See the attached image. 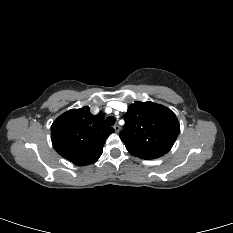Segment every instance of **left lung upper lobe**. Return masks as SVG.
<instances>
[{
  "mask_svg": "<svg viewBox=\"0 0 233 233\" xmlns=\"http://www.w3.org/2000/svg\"><path fill=\"white\" fill-rule=\"evenodd\" d=\"M125 127L120 133L126 149L141 159H155L165 155L180 132L175 114L165 106L153 102H135L128 107Z\"/></svg>",
  "mask_w": 233,
  "mask_h": 233,
  "instance_id": "1",
  "label": "left lung upper lobe"
}]
</instances>
